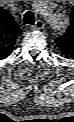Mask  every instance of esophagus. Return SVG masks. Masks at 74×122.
I'll return each instance as SVG.
<instances>
[{"instance_id": "esophagus-1", "label": "esophagus", "mask_w": 74, "mask_h": 122, "mask_svg": "<svg viewBox=\"0 0 74 122\" xmlns=\"http://www.w3.org/2000/svg\"><path fill=\"white\" fill-rule=\"evenodd\" d=\"M44 27V23L41 20H37L35 22V25L33 26V29L40 30Z\"/></svg>"}]
</instances>
